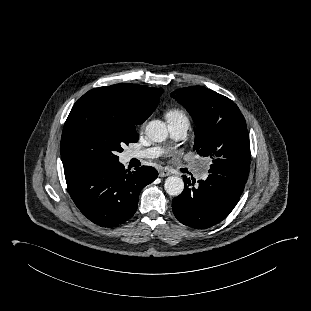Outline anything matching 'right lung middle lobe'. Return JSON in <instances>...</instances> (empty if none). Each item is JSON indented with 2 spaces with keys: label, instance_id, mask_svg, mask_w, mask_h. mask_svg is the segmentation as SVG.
I'll return each mask as SVG.
<instances>
[{
  "label": "right lung middle lobe",
  "instance_id": "obj_1",
  "mask_svg": "<svg viewBox=\"0 0 311 311\" xmlns=\"http://www.w3.org/2000/svg\"><path fill=\"white\" fill-rule=\"evenodd\" d=\"M138 141L136 129L126 123L125 112L108 97L82 96L63 128V166L116 163L123 146Z\"/></svg>",
  "mask_w": 311,
  "mask_h": 311
}]
</instances>
